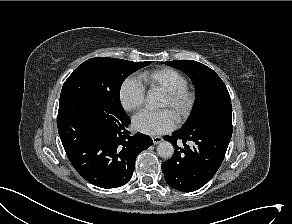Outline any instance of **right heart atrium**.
Returning a JSON list of instances; mask_svg holds the SVG:
<instances>
[{"label": "right heart atrium", "mask_w": 292, "mask_h": 224, "mask_svg": "<svg viewBox=\"0 0 292 224\" xmlns=\"http://www.w3.org/2000/svg\"><path fill=\"white\" fill-rule=\"evenodd\" d=\"M118 95L122 107L126 111H134L144 103L145 88L136 78L129 77L120 85Z\"/></svg>", "instance_id": "obj_1"}]
</instances>
